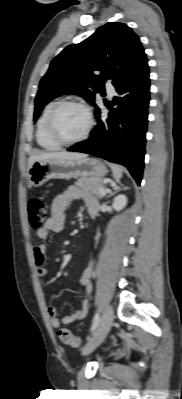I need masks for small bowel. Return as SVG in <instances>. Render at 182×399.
<instances>
[{
	"instance_id": "small-bowel-1",
	"label": "small bowel",
	"mask_w": 182,
	"mask_h": 399,
	"mask_svg": "<svg viewBox=\"0 0 182 399\" xmlns=\"http://www.w3.org/2000/svg\"><path fill=\"white\" fill-rule=\"evenodd\" d=\"M73 200H81L85 203L88 210H98V199L91 193L82 190L76 186L68 187L63 193L54 197L51 204L50 217L47 219L45 225L36 231V237L41 241H45L49 233L61 232L65 227V212L69 204ZM34 260L38 269V275L41 278L47 276V245L39 243L34 248ZM92 263L85 269L80 276V284L85 289L86 298L81 303L80 307L71 315L60 318L54 306H48L47 313L50 319L51 326L59 328L61 325H68L73 322L83 319L88 311V297L92 291Z\"/></svg>"
}]
</instances>
